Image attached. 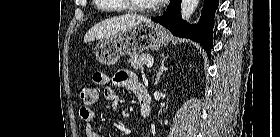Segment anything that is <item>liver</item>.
<instances>
[{"label": "liver", "mask_w": 280, "mask_h": 137, "mask_svg": "<svg viewBox=\"0 0 280 137\" xmlns=\"http://www.w3.org/2000/svg\"><path fill=\"white\" fill-rule=\"evenodd\" d=\"M143 23H151V20L132 13L103 20L88 30L84 36V43L95 39L109 38L121 31Z\"/></svg>", "instance_id": "liver-1"}]
</instances>
